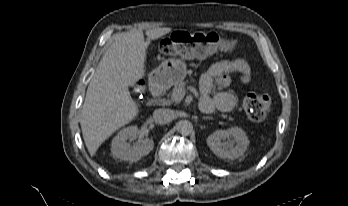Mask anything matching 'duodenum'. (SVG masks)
I'll return each instance as SVG.
<instances>
[{"label":"duodenum","instance_id":"duodenum-1","mask_svg":"<svg viewBox=\"0 0 348 206\" xmlns=\"http://www.w3.org/2000/svg\"><path fill=\"white\" fill-rule=\"evenodd\" d=\"M150 87L154 97H158L161 95L163 88L161 86L159 78H151Z\"/></svg>","mask_w":348,"mask_h":206}]
</instances>
